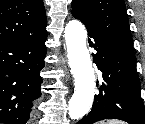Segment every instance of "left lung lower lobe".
Returning a JSON list of instances; mask_svg holds the SVG:
<instances>
[{
  "instance_id": "obj_1",
  "label": "left lung lower lobe",
  "mask_w": 145,
  "mask_h": 124,
  "mask_svg": "<svg viewBox=\"0 0 145 124\" xmlns=\"http://www.w3.org/2000/svg\"><path fill=\"white\" fill-rule=\"evenodd\" d=\"M89 45L96 50L93 62L102 71L100 93L95 95L91 112L77 124H93L103 119H120L145 124V108L140 94L136 58L110 41L88 31Z\"/></svg>"
}]
</instances>
